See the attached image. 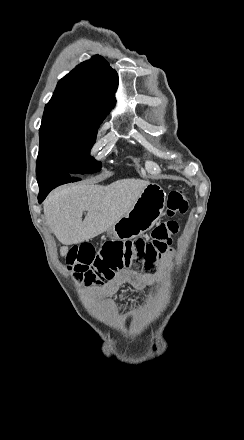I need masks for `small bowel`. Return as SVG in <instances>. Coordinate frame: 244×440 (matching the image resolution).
I'll return each mask as SVG.
<instances>
[{
  "mask_svg": "<svg viewBox=\"0 0 244 440\" xmlns=\"http://www.w3.org/2000/svg\"><path fill=\"white\" fill-rule=\"evenodd\" d=\"M171 260V254L168 253L164 256V261L169 262ZM154 277L150 274L143 273L136 270H122L115 274V276L105 283L103 286L92 289L89 291L91 295L96 298H104L116 291L121 285L125 283H131L136 288H143L152 284ZM126 294L122 293L119 298L122 299ZM103 307L108 311H113L112 305L109 301H103Z\"/></svg>",
  "mask_w": 244,
  "mask_h": 440,
  "instance_id": "c3829d8e",
  "label": "small bowel"
}]
</instances>
